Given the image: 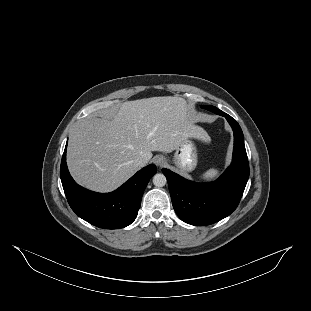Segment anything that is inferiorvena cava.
Instances as JSON below:
<instances>
[{"label":"inferior vena cava","mask_w":311,"mask_h":311,"mask_svg":"<svg viewBox=\"0 0 311 311\" xmlns=\"http://www.w3.org/2000/svg\"><path fill=\"white\" fill-rule=\"evenodd\" d=\"M142 161H143V158H142V157H138V158L135 159V163H136L137 165H141V164H142Z\"/></svg>","instance_id":"obj_1"}]
</instances>
